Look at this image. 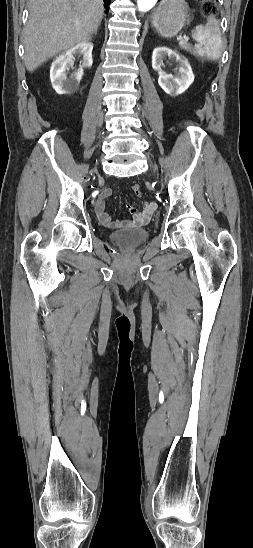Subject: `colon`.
Returning <instances> with one entry per match:
<instances>
[{"label":"colon","mask_w":253,"mask_h":548,"mask_svg":"<svg viewBox=\"0 0 253 548\" xmlns=\"http://www.w3.org/2000/svg\"><path fill=\"white\" fill-rule=\"evenodd\" d=\"M215 7L211 0H205L202 4V12L205 16H208L212 13H214ZM132 190L136 196H141L142 191L138 184L133 185Z\"/></svg>","instance_id":"colon-1"}]
</instances>
